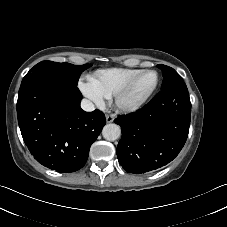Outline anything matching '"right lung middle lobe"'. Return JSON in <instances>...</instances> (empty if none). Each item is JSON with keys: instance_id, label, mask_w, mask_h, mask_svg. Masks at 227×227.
<instances>
[{"instance_id": "right-lung-middle-lobe-1", "label": "right lung middle lobe", "mask_w": 227, "mask_h": 227, "mask_svg": "<svg viewBox=\"0 0 227 227\" xmlns=\"http://www.w3.org/2000/svg\"><path fill=\"white\" fill-rule=\"evenodd\" d=\"M91 64L73 65L70 63H58L52 61H42L36 64L23 78L25 83L38 76L57 78L69 84L77 86L80 74L91 67Z\"/></svg>"}]
</instances>
